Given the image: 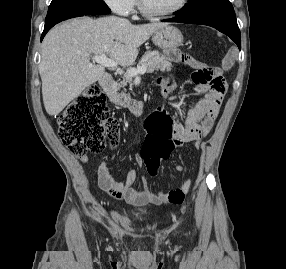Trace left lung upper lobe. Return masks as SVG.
Returning a JSON list of instances; mask_svg holds the SVG:
<instances>
[{
    "instance_id": "obj_1",
    "label": "left lung upper lobe",
    "mask_w": 286,
    "mask_h": 269,
    "mask_svg": "<svg viewBox=\"0 0 286 269\" xmlns=\"http://www.w3.org/2000/svg\"><path fill=\"white\" fill-rule=\"evenodd\" d=\"M177 12L182 17L203 15L235 16L233 6L229 0H188V5Z\"/></svg>"
}]
</instances>
